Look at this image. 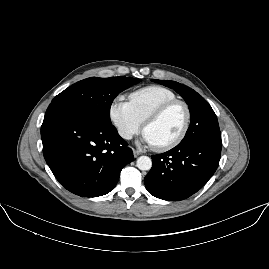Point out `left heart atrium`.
I'll list each match as a JSON object with an SVG mask.
<instances>
[{
  "mask_svg": "<svg viewBox=\"0 0 269 269\" xmlns=\"http://www.w3.org/2000/svg\"><path fill=\"white\" fill-rule=\"evenodd\" d=\"M143 140H144L146 143L151 144L150 139H149L146 135H144Z\"/></svg>",
  "mask_w": 269,
  "mask_h": 269,
  "instance_id": "1",
  "label": "left heart atrium"
}]
</instances>
